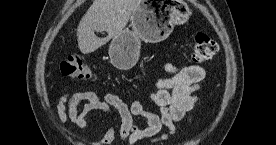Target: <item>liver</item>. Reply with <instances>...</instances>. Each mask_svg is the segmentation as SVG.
Here are the masks:
<instances>
[{
  "label": "liver",
  "mask_w": 276,
  "mask_h": 145,
  "mask_svg": "<svg viewBox=\"0 0 276 145\" xmlns=\"http://www.w3.org/2000/svg\"><path fill=\"white\" fill-rule=\"evenodd\" d=\"M140 0H94L77 28V40L83 54L92 53L120 34ZM106 31L99 38L95 32Z\"/></svg>",
  "instance_id": "1"
}]
</instances>
